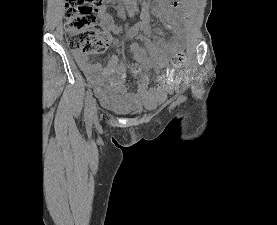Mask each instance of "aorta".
<instances>
[{"label":"aorta","instance_id":"762f6f07","mask_svg":"<svg viewBox=\"0 0 277 225\" xmlns=\"http://www.w3.org/2000/svg\"><path fill=\"white\" fill-rule=\"evenodd\" d=\"M126 10L130 17H133L137 11L136 0H123Z\"/></svg>","mask_w":277,"mask_h":225}]
</instances>
